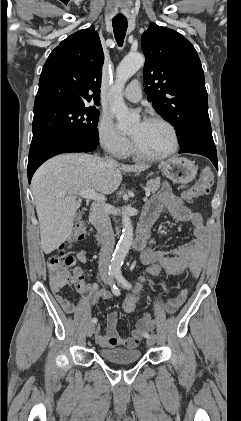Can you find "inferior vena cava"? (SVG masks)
<instances>
[{
  "label": "inferior vena cava",
  "mask_w": 241,
  "mask_h": 421,
  "mask_svg": "<svg viewBox=\"0 0 241 421\" xmlns=\"http://www.w3.org/2000/svg\"><path fill=\"white\" fill-rule=\"evenodd\" d=\"M105 162L109 164L117 163L113 158L108 156L105 157ZM108 212L109 209L107 204L103 200H97L92 203L89 216L101 239L99 272L103 278L108 275V268L111 264V257L115 244L114 232Z\"/></svg>",
  "instance_id": "1"
}]
</instances>
